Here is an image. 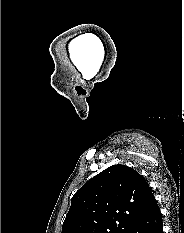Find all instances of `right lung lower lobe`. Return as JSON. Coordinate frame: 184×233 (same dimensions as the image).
<instances>
[{
    "instance_id": "98d812e1",
    "label": "right lung lower lobe",
    "mask_w": 184,
    "mask_h": 233,
    "mask_svg": "<svg viewBox=\"0 0 184 233\" xmlns=\"http://www.w3.org/2000/svg\"><path fill=\"white\" fill-rule=\"evenodd\" d=\"M126 233H164L158 204L140 218Z\"/></svg>"
}]
</instances>
